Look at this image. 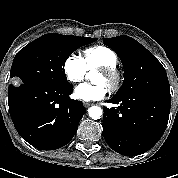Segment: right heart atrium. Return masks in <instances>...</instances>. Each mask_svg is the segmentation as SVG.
I'll return each instance as SVG.
<instances>
[{
  "label": "right heart atrium",
  "instance_id": "obj_1",
  "mask_svg": "<svg viewBox=\"0 0 178 178\" xmlns=\"http://www.w3.org/2000/svg\"><path fill=\"white\" fill-rule=\"evenodd\" d=\"M63 70L67 80L71 83L82 81L87 73V69L82 59L75 55H70L65 59Z\"/></svg>",
  "mask_w": 178,
  "mask_h": 178
}]
</instances>
